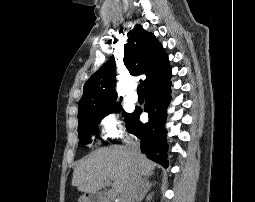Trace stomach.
I'll use <instances>...</instances> for the list:
<instances>
[{
	"mask_svg": "<svg viewBox=\"0 0 255 202\" xmlns=\"http://www.w3.org/2000/svg\"><path fill=\"white\" fill-rule=\"evenodd\" d=\"M78 202H92V197L89 194H84L80 196V198L78 199Z\"/></svg>",
	"mask_w": 255,
	"mask_h": 202,
	"instance_id": "obj_1",
	"label": "stomach"
}]
</instances>
